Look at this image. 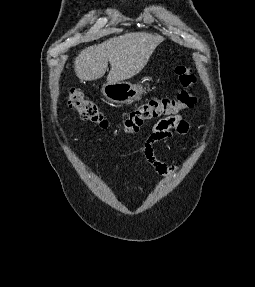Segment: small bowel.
<instances>
[{
    "instance_id": "small-bowel-1",
    "label": "small bowel",
    "mask_w": 255,
    "mask_h": 287,
    "mask_svg": "<svg viewBox=\"0 0 255 287\" xmlns=\"http://www.w3.org/2000/svg\"><path fill=\"white\" fill-rule=\"evenodd\" d=\"M190 124L180 115H170L158 120L152 128L151 134L146 139L143 146V155L147 164L158 174L173 175L177 172V167L169 166L159 161L154 152L156 143L172 137L173 133L186 134Z\"/></svg>"
}]
</instances>
